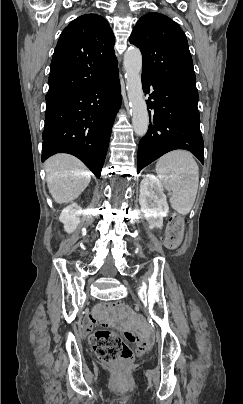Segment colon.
Wrapping results in <instances>:
<instances>
[{"label": "colon", "instance_id": "5ec220e1", "mask_svg": "<svg viewBox=\"0 0 243 404\" xmlns=\"http://www.w3.org/2000/svg\"><path fill=\"white\" fill-rule=\"evenodd\" d=\"M183 229V219L180 216L172 218L167 226L163 245L168 249H175L182 240ZM107 307L121 315H128L130 313L129 308L119 301L109 302L107 303ZM127 339L135 345L134 348L126 343L118 334L104 329L96 331L90 341L97 356L106 362L130 360L134 352L142 354L151 345L149 338L142 337L137 332L127 333Z\"/></svg>", "mask_w": 243, "mask_h": 404}]
</instances>
